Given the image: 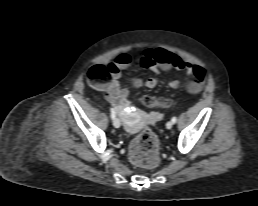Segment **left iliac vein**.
I'll return each instance as SVG.
<instances>
[{"instance_id":"4c4485c4","label":"left iliac vein","mask_w":258,"mask_h":206,"mask_svg":"<svg viewBox=\"0 0 258 206\" xmlns=\"http://www.w3.org/2000/svg\"><path fill=\"white\" fill-rule=\"evenodd\" d=\"M173 127V122L172 121H169L166 123V128L167 129H171Z\"/></svg>"}]
</instances>
